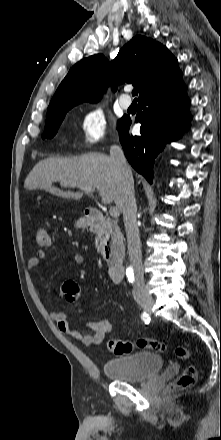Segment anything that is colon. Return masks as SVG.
Returning a JSON list of instances; mask_svg holds the SVG:
<instances>
[{
	"mask_svg": "<svg viewBox=\"0 0 221 440\" xmlns=\"http://www.w3.org/2000/svg\"><path fill=\"white\" fill-rule=\"evenodd\" d=\"M36 244L41 248H49L52 244L50 235L45 227H38L35 233ZM61 296L68 302H75L80 297L78 285L73 281H65L60 288ZM108 349L116 355L131 353L134 349H149L162 352L166 345L158 340L149 338H139L137 340H120L111 338L107 342ZM174 353L183 360H189L190 351L183 346H176ZM197 379V370L194 366H187L181 375L169 386L170 390L188 389L194 386Z\"/></svg>",
	"mask_w": 221,
	"mask_h": 440,
	"instance_id": "1",
	"label": "colon"
}]
</instances>
